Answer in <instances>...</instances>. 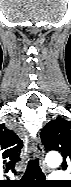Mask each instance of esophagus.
Masks as SVG:
<instances>
[{
  "mask_svg": "<svg viewBox=\"0 0 71 187\" xmlns=\"http://www.w3.org/2000/svg\"><path fill=\"white\" fill-rule=\"evenodd\" d=\"M31 152L34 157H38L41 160L43 167H45L43 156H44V147L40 140V137H36L32 140Z\"/></svg>",
  "mask_w": 71,
  "mask_h": 187,
  "instance_id": "obj_1",
  "label": "esophagus"
}]
</instances>
